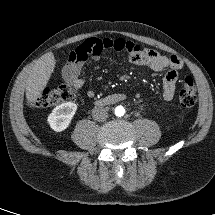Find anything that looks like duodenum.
Masks as SVG:
<instances>
[{"mask_svg": "<svg viewBox=\"0 0 215 215\" xmlns=\"http://www.w3.org/2000/svg\"><path fill=\"white\" fill-rule=\"evenodd\" d=\"M126 99V95L122 93H116L109 96H106L97 101L99 106L111 105L122 102Z\"/></svg>", "mask_w": 215, "mask_h": 215, "instance_id": "obj_1", "label": "duodenum"}]
</instances>
